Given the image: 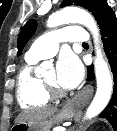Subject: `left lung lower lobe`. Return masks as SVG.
<instances>
[{
	"label": "left lung lower lobe",
	"mask_w": 117,
	"mask_h": 131,
	"mask_svg": "<svg viewBox=\"0 0 117 131\" xmlns=\"http://www.w3.org/2000/svg\"><path fill=\"white\" fill-rule=\"evenodd\" d=\"M97 23L101 31L104 51L109 60L114 79V89L111 100L100 116L109 120L115 128L117 124V18L108 4L98 15ZM87 70V80H94L93 66H88Z\"/></svg>",
	"instance_id": "1"
}]
</instances>
